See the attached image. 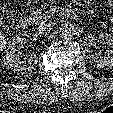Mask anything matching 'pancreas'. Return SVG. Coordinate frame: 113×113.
Returning a JSON list of instances; mask_svg holds the SVG:
<instances>
[{"mask_svg":"<svg viewBox=\"0 0 113 113\" xmlns=\"http://www.w3.org/2000/svg\"><path fill=\"white\" fill-rule=\"evenodd\" d=\"M32 18H33V21L36 24H38V23H43L44 21L48 20L50 16L42 14L41 10L37 9L36 11H33Z\"/></svg>","mask_w":113,"mask_h":113,"instance_id":"obj_1","label":"pancreas"}]
</instances>
